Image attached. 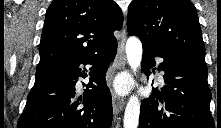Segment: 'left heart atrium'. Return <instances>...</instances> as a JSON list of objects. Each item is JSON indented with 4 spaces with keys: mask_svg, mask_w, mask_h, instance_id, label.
I'll return each instance as SVG.
<instances>
[{
    "mask_svg": "<svg viewBox=\"0 0 221 128\" xmlns=\"http://www.w3.org/2000/svg\"><path fill=\"white\" fill-rule=\"evenodd\" d=\"M128 86V82L126 79L124 78H119L117 81H116V89L118 91H124Z\"/></svg>",
    "mask_w": 221,
    "mask_h": 128,
    "instance_id": "left-heart-atrium-1",
    "label": "left heart atrium"
}]
</instances>
